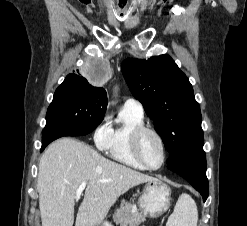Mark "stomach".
<instances>
[{"instance_id": "obj_1", "label": "stomach", "mask_w": 247, "mask_h": 226, "mask_svg": "<svg viewBox=\"0 0 247 226\" xmlns=\"http://www.w3.org/2000/svg\"><path fill=\"white\" fill-rule=\"evenodd\" d=\"M171 188L159 179L147 181L143 193L138 200L139 208L144 216L157 218L170 207ZM98 226H109L103 223Z\"/></svg>"}]
</instances>
